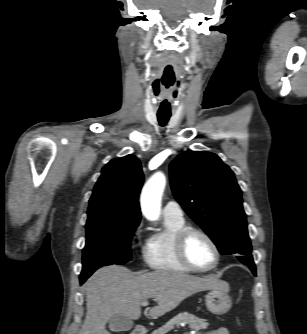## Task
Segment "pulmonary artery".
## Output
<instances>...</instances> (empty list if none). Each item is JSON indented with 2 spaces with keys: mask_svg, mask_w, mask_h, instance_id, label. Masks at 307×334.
I'll return each instance as SVG.
<instances>
[{
  "mask_svg": "<svg viewBox=\"0 0 307 334\" xmlns=\"http://www.w3.org/2000/svg\"><path fill=\"white\" fill-rule=\"evenodd\" d=\"M163 216L176 221L184 220V213L180 204L174 200L168 201L163 207Z\"/></svg>",
  "mask_w": 307,
  "mask_h": 334,
  "instance_id": "obj_1",
  "label": "pulmonary artery"
}]
</instances>
